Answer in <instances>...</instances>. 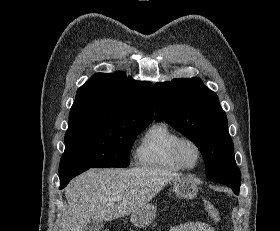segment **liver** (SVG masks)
<instances>
[{"mask_svg": "<svg viewBox=\"0 0 280 231\" xmlns=\"http://www.w3.org/2000/svg\"><path fill=\"white\" fill-rule=\"evenodd\" d=\"M179 175L161 167H92L65 187L68 209L61 217L59 231H84L90 219L111 221L134 213Z\"/></svg>", "mask_w": 280, "mask_h": 231, "instance_id": "1", "label": "liver"}]
</instances>
